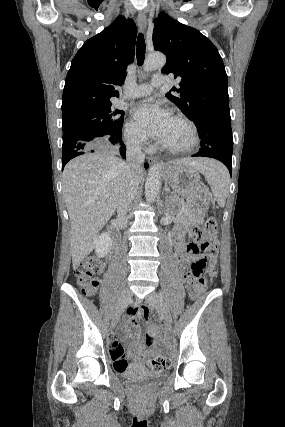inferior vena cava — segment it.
<instances>
[{
    "instance_id": "1",
    "label": "inferior vena cava",
    "mask_w": 285,
    "mask_h": 427,
    "mask_svg": "<svg viewBox=\"0 0 285 427\" xmlns=\"http://www.w3.org/2000/svg\"><path fill=\"white\" fill-rule=\"evenodd\" d=\"M126 159L123 175L122 187L119 193L117 213L118 220L125 225L127 223L126 214L129 206L138 190V173L142 171V164L145 155L141 151L140 141L131 138L127 141Z\"/></svg>"
}]
</instances>
